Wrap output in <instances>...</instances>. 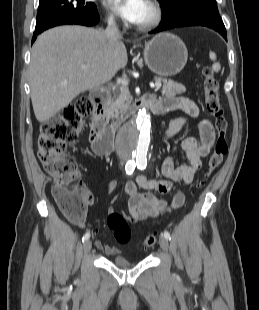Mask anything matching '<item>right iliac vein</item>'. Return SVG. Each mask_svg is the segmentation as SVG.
Listing matches in <instances>:
<instances>
[{"instance_id": "obj_1", "label": "right iliac vein", "mask_w": 259, "mask_h": 310, "mask_svg": "<svg viewBox=\"0 0 259 310\" xmlns=\"http://www.w3.org/2000/svg\"><path fill=\"white\" fill-rule=\"evenodd\" d=\"M92 247V243L90 240L85 241L84 245H83V250L85 253H88L91 250Z\"/></svg>"}]
</instances>
